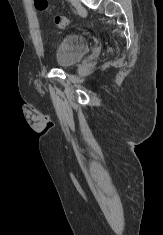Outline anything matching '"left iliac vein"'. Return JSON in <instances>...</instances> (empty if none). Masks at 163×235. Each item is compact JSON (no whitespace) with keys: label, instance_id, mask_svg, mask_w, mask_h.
Masks as SVG:
<instances>
[{"label":"left iliac vein","instance_id":"1","mask_svg":"<svg viewBox=\"0 0 163 235\" xmlns=\"http://www.w3.org/2000/svg\"><path fill=\"white\" fill-rule=\"evenodd\" d=\"M69 1L75 7H79L80 6V0H69Z\"/></svg>","mask_w":163,"mask_h":235}]
</instances>
